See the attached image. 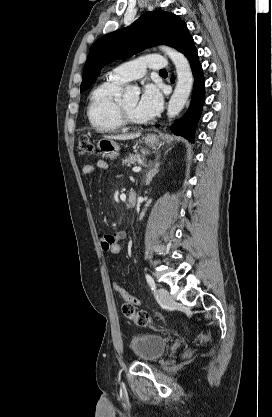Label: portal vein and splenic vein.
I'll return each instance as SVG.
<instances>
[{
    "instance_id": "1",
    "label": "portal vein and splenic vein",
    "mask_w": 272,
    "mask_h": 417,
    "mask_svg": "<svg viewBox=\"0 0 272 417\" xmlns=\"http://www.w3.org/2000/svg\"><path fill=\"white\" fill-rule=\"evenodd\" d=\"M133 172H140L141 171V168L140 167H133Z\"/></svg>"
}]
</instances>
